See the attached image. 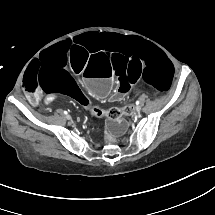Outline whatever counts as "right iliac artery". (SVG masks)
Returning <instances> with one entry per match:
<instances>
[{"mask_svg": "<svg viewBox=\"0 0 215 215\" xmlns=\"http://www.w3.org/2000/svg\"><path fill=\"white\" fill-rule=\"evenodd\" d=\"M64 114H66V115H67V114H68V113H67V111H64Z\"/></svg>", "mask_w": 215, "mask_h": 215, "instance_id": "82829eb1", "label": "right iliac artery"}]
</instances>
